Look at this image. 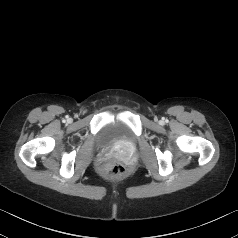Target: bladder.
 I'll return each mask as SVG.
<instances>
[{"mask_svg": "<svg viewBox=\"0 0 238 238\" xmlns=\"http://www.w3.org/2000/svg\"><path fill=\"white\" fill-rule=\"evenodd\" d=\"M131 141H133V135L130 129L120 122L107 124L98 133V143L104 147H112Z\"/></svg>", "mask_w": 238, "mask_h": 238, "instance_id": "1", "label": "bladder"}]
</instances>
